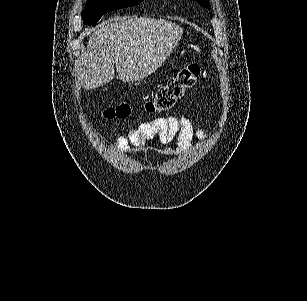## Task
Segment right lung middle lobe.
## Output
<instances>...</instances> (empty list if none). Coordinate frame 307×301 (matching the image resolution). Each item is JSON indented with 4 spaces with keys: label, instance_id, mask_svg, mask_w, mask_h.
I'll return each instance as SVG.
<instances>
[{
    "label": "right lung middle lobe",
    "instance_id": "dd1d6c3e",
    "mask_svg": "<svg viewBox=\"0 0 307 301\" xmlns=\"http://www.w3.org/2000/svg\"><path fill=\"white\" fill-rule=\"evenodd\" d=\"M143 0H88L81 13L84 24L95 25L107 12L120 8L131 7Z\"/></svg>",
    "mask_w": 307,
    "mask_h": 301
}]
</instances>
